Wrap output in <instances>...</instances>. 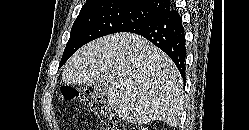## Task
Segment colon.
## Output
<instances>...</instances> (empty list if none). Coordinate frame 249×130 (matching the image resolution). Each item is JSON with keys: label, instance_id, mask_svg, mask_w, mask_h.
<instances>
[{"label": "colon", "instance_id": "1", "mask_svg": "<svg viewBox=\"0 0 249 130\" xmlns=\"http://www.w3.org/2000/svg\"><path fill=\"white\" fill-rule=\"evenodd\" d=\"M59 99L65 102H76L92 112L99 121L100 130H122L119 119L107 101L88 89L63 85L60 88Z\"/></svg>", "mask_w": 249, "mask_h": 130}]
</instances>
